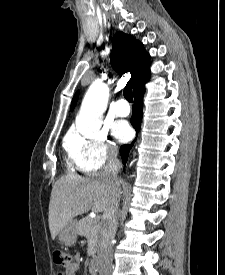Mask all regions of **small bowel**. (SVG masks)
Segmentation results:
<instances>
[{
  "label": "small bowel",
  "instance_id": "small-bowel-1",
  "mask_svg": "<svg viewBox=\"0 0 225 275\" xmlns=\"http://www.w3.org/2000/svg\"><path fill=\"white\" fill-rule=\"evenodd\" d=\"M79 260L80 255L76 254L74 257V261L70 266L66 267L64 272L59 273L58 275H77L79 272Z\"/></svg>",
  "mask_w": 225,
  "mask_h": 275
}]
</instances>
